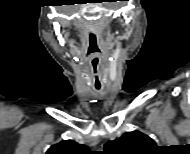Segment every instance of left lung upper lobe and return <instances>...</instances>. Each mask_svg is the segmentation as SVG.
I'll list each match as a JSON object with an SVG mask.
<instances>
[{
    "label": "left lung upper lobe",
    "instance_id": "1",
    "mask_svg": "<svg viewBox=\"0 0 190 154\" xmlns=\"http://www.w3.org/2000/svg\"><path fill=\"white\" fill-rule=\"evenodd\" d=\"M157 148L153 139L139 132H127L104 145V154H146Z\"/></svg>",
    "mask_w": 190,
    "mask_h": 154
}]
</instances>
